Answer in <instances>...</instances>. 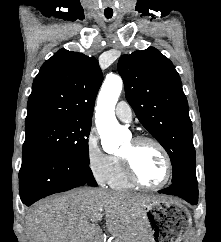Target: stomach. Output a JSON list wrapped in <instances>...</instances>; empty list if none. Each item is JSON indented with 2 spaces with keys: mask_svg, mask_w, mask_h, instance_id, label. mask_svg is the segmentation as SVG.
I'll list each match as a JSON object with an SVG mask.
<instances>
[{
  "mask_svg": "<svg viewBox=\"0 0 221 242\" xmlns=\"http://www.w3.org/2000/svg\"><path fill=\"white\" fill-rule=\"evenodd\" d=\"M149 239L147 242H181L187 236L192 219L189 211L172 198H157L143 209Z\"/></svg>",
  "mask_w": 221,
  "mask_h": 242,
  "instance_id": "0dacf381",
  "label": "stomach"
}]
</instances>
